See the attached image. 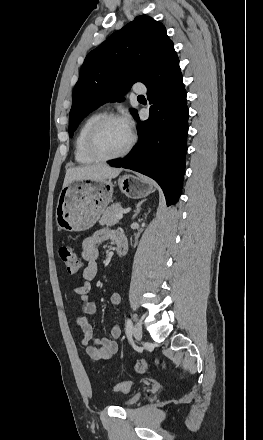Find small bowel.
Here are the masks:
<instances>
[{"mask_svg":"<svg viewBox=\"0 0 263 440\" xmlns=\"http://www.w3.org/2000/svg\"><path fill=\"white\" fill-rule=\"evenodd\" d=\"M124 238L119 231L100 229L87 237L82 243L81 258L87 262L82 273L80 284L75 287L74 293L81 300V314L77 316L76 323L80 326L83 337L82 345L88 358L95 361L109 360L118 351L117 339L121 336V328L115 324L111 329V338L96 339L94 337L93 328L88 322V317L95 315L96 305L89 300L90 282L95 278L98 265L97 258L99 255V245L112 241L115 244ZM111 305L115 311L118 310L121 297L117 293H113L110 298Z\"/></svg>","mask_w":263,"mask_h":440,"instance_id":"small-bowel-1","label":"small bowel"}]
</instances>
